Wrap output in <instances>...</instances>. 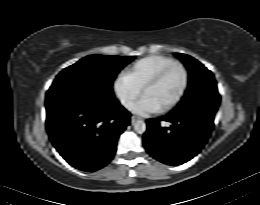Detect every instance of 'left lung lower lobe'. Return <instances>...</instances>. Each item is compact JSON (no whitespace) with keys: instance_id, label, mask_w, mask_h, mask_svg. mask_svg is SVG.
I'll list each match as a JSON object with an SVG mask.
<instances>
[{"instance_id":"obj_1","label":"left lung lower lobe","mask_w":260,"mask_h":205,"mask_svg":"<svg viewBox=\"0 0 260 205\" xmlns=\"http://www.w3.org/2000/svg\"><path fill=\"white\" fill-rule=\"evenodd\" d=\"M214 116L200 111H171L158 119L147 120L143 136L147 152L158 161L179 165L196 156L207 142ZM160 121L171 123L162 127Z\"/></svg>"}]
</instances>
